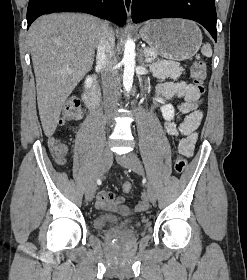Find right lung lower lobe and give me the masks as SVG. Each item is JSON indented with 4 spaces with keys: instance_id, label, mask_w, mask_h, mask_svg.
Listing matches in <instances>:
<instances>
[{
    "instance_id": "right-lung-lower-lobe-1",
    "label": "right lung lower lobe",
    "mask_w": 247,
    "mask_h": 280,
    "mask_svg": "<svg viewBox=\"0 0 247 280\" xmlns=\"http://www.w3.org/2000/svg\"><path fill=\"white\" fill-rule=\"evenodd\" d=\"M80 11L112 20L119 26L126 22L123 0H29L28 27L39 16L51 12Z\"/></svg>"
}]
</instances>
